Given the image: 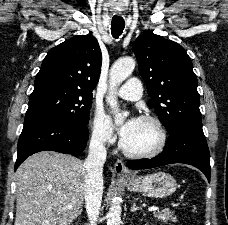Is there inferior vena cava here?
<instances>
[{"mask_svg": "<svg viewBox=\"0 0 228 225\" xmlns=\"http://www.w3.org/2000/svg\"><path fill=\"white\" fill-rule=\"evenodd\" d=\"M106 149L102 135H92L88 157L84 163V199L89 225H96L103 195V165Z\"/></svg>", "mask_w": 228, "mask_h": 225, "instance_id": "602c4592", "label": "inferior vena cava"}]
</instances>
